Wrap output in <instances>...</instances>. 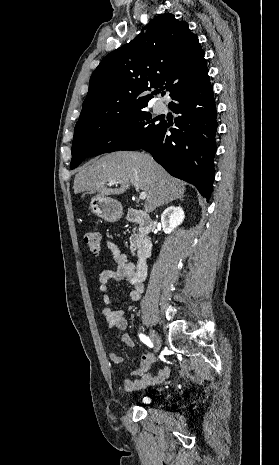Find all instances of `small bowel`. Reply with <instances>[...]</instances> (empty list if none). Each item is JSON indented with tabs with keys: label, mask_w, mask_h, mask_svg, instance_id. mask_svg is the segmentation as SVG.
<instances>
[{
	"label": "small bowel",
	"mask_w": 279,
	"mask_h": 465,
	"mask_svg": "<svg viewBox=\"0 0 279 465\" xmlns=\"http://www.w3.org/2000/svg\"><path fill=\"white\" fill-rule=\"evenodd\" d=\"M106 246L111 253L112 260L115 264L114 270H103L99 274V291L103 294V300L106 304L101 310L107 326L111 329L119 331L126 330L128 326L127 319L123 310H114L111 307L113 299L109 293L111 281H128L133 286L130 292L131 301H138L143 292V284L133 283L132 276L135 270V265L129 261L128 256L121 252L118 245L108 240ZM121 341L130 349H134L135 344L128 333L121 335ZM155 359L153 353H145L139 357L138 367L132 371L130 378H125L122 382L123 389L127 392L140 390L151 385L163 382L170 375V368L165 366L159 369L155 374L149 372L151 363ZM109 360L116 366L122 362V357L115 351L109 353Z\"/></svg>",
	"instance_id": "c3829d8e"
}]
</instances>
